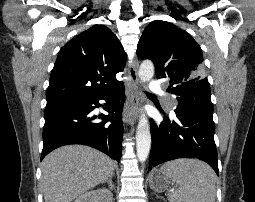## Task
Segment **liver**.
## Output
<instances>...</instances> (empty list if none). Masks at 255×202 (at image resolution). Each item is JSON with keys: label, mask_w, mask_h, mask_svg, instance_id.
Segmentation results:
<instances>
[{"label": "liver", "mask_w": 255, "mask_h": 202, "mask_svg": "<svg viewBox=\"0 0 255 202\" xmlns=\"http://www.w3.org/2000/svg\"><path fill=\"white\" fill-rule=\"evenodd\" d=\"M115 162L107 155L83 145H67L42 161L45 202H71L82 193L113 176Z\"/></svg>", "instance_id": "6515ba94"}]
</instances>
